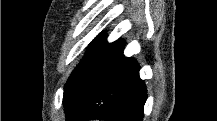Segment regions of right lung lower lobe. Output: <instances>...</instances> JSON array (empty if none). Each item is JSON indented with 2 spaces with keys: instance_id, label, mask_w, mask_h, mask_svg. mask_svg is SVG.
<instances>
[{
  "instance_id": "right-lung-lower-lobe-1",
  "label": "right lung lower lobe",
  "mask_w": 217,
  "mask_h": 121,
  "mask_svg": "<svg viewBox=\"0 0 217 121\" xmlns=\"http://www.w3.org/2000/svg\"><path fill=\"white\" fill-rule=\"evenodd\" d=\"M125 42L112 43L92 67L64 93L67 121L98 118L142 121L147 90L134 58L123 55Z\"/></svg>"
}]
</instances>
